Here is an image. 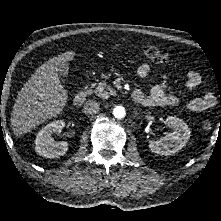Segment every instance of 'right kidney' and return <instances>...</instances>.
<instances>
[{"label":"right kidney","mask_w":221,"mask_h":221,"mask_svg":"<svg viewBox=\"0 0 221 221\" xmlns=\"http://www.w3.org/2000/svg\"><path fill=\"white\" fill-rule=\"evenodd\" d=\"M64 126V121L57 120L46 125L39 131L35 140V150L39 155L46 158H58L66 154L68 144L66 142L54 143L52 138V134L60 132Z\"/></svg>","instance_id":"1"}]
</instances>
